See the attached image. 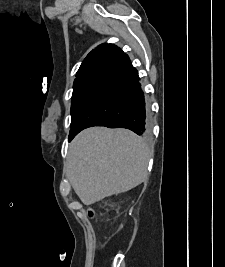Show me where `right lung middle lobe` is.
<instances>
[{
    "label": "right lung middle lobe",
    "instance_id": "1",
    "mask_svg": "<svg viewBox=\"0 0 225 267\" xmlns=\"http://www.w3.org/2000/svg\"><path fill=\"white\" fill-rule=\"evenodd\" d=\"M98 80V77H91L84 80H81L79 82L74 83L73 85V94H72V100H71V130L70 133L73 130V124L77 117V113L80 109V106L87 95L88 91L92 87V85Z\"/></svg>",
    "mask_w": 225,
    "mask_h": 267
}]
</instances>
